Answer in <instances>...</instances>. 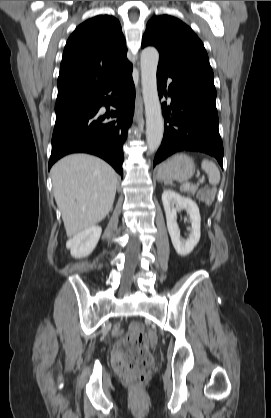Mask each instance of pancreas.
Listing matches in <instances>:
<instances>
[{"label":"pancreas","mask_w":271,"mask_h":418,"mask_svg":"<svg viewBox=\"0 0 271 418\" xmlns=\"http://www.w3.org/2000/svg\"><path fill=\"white\" fill-rule=\"evenodd\" d=\"M198 190V185H193L187 189H183L184 192H187L189 194L194 195L196 193V191Z\"/></svg>","instance_id":"pancreas-1"}]
</instances>
